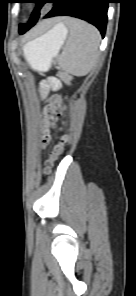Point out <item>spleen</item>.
<instances>
[{
    "mask_svg": "<svg viewBox=\"0 0 136 296\" xmlns=\"http://www.w3.org/2000/svg\"><path fill=\"white\" fill-rule=\"evenodd\" d=\"M64 28L68 32L65 26ZM68 29L69 37L59 59V66L72 75L84 76L97 62L100 44L99 31L89 23L78 19H70Z\"/></svg>",
    "mask_w": 136,
    "mask_h": 296,
    "instance_id": "3e777b00",
    "label": "spleen"
}]
</instances>
